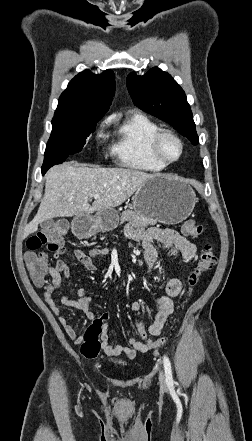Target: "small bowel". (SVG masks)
Returning <instances> with one entry per match:
<instances>
[{
	"instance_id": "small-bowel-1",
	"label": "small bowel",
	"mask_w": 252,
	"mask_h": 441,
	"mask_svg": "<svg viewBox=\"0 0 252 441\" xmlns=\"http://www.w3.org/2000/svg\"><path fill=\"white\" fill-rule=\"evenodd\" d=\"M126 234L129 238L138 241L143 247L148 275L153 271L158 258L157 250L153 245L155 241L159 242L164 248H166L171 256H176L180 253L185 261H191L196 255L197 248L195 244L173 229H159L155 227L143 229L139 226H129L126 229ZM107 253L108 250L105 248L92 249L88 253L76 249L74 251V257L87 271L94 272L96 266L93 263V259L98 256H104ZM61 254L62 252L54 253V258L57 259V261L53 267L48 269L51 282L45 288L44 300L52 312L57 316L67 335L76 343L80 344L82 342V336L78 335L74 327L65 318L60 304L54 298V293L61 287L63 278L68 279L71 276L68 264L59 259ZM181 291L182 282L179 279L173 278L167 282L165 292L156 299L157 311L154 314L152 323L148 327V331L151 335L156 336L160 334L166 320L173 313V300L181 293ZM77 295L78 299L76 300L63 296L60 302L64 306L82 310L88 319L94 320L96 314L91 309V296H89L82 287L77 290ZM131 309L136 315L141 312V306L138 302H134L131 305ZM128 343L129 346L127 347L111 343L108 336V327L107 325L104 326L101 333V348L105 354L111 357L123 355L127 359H133L138 353L147 351V345L135 337H129Z\"/></svg>"
}]
</instances>
